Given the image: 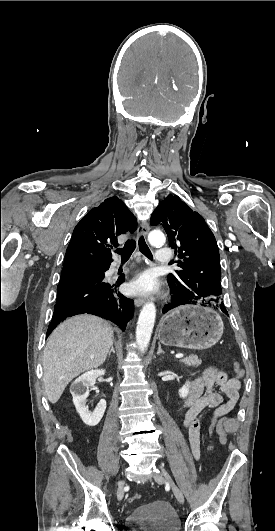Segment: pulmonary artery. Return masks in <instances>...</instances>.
Returning <instances> with one entry per match:
<instances>
[{
	"instance_id": "1",
	"label": "pulmonary artery",
	"mask_w": 275,
	"mask_h": 531,
	"mask_svg": "<svg viewBox=\"0 0 275 531\" xmlns=\"http://www.w3.org/2000/svg\"><path fill=\"white\" fill-rule=\"evenodd\" d=\"M154 256H155V260H156V263L157 264H163V265H166L169 263L170 261V258H169V252L167 250H162V249H158L155 251L154 253ZM120 268L119 265L117 264H114L113 266H111L110 270H109V273L110 275L113 277L114 273Z\"/></svg>"
}]
</instances>
